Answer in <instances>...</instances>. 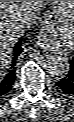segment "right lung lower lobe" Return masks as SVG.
<instances>
[{"mask_svg":"<svg viewBox=\"0 0 74 122\" xmlns=\"http://www.w3.org/2000/svg\"><path fill=\"white\" fill-rule=\"evenodd\" d=\"M22 52H23L22 39H20L13 48L12 62H11V68L9 70V73L5 77H2V75L0 76V97L8 93L12 88V85L14 84L15 71H16L15 62L18 56Z\"/></svg>","mask_w":74,"mask_h":122,"instance_id":"98d812e1","label":"right lung lower lobe"}]
</instances>
